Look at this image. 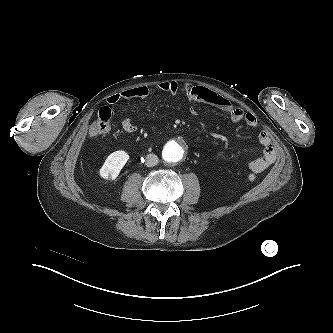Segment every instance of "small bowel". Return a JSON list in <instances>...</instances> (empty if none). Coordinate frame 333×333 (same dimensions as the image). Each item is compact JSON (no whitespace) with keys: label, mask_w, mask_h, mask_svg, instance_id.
<instances>
[{"label":"small bowel","mask_w":333,"mask_h":333,"mask_svg":"<svg viewBox=\"0 0 333 333\" xmlns=\"http://www.w3.org/2000/svg\"><path fill=\"white\" fill-rule=\"evenodd\" d=\"M179 92H182L192 105L205 103L227 113L229 121L232 123H239L243 121L249 127H256L258 125V119L253 113L245 112L241 108L235 107L230 101L221 95L203 87L179 84L174 81L161 82L153 87L140 86L130 88L120 93L111 95L107 99V102L109 104H115L121 100L145 99L159 94H169L173 96ZM190 112L192 114H196V109L191 107ZM121 125L127 133H134L137 131V126L128 118H124ZM258 140L263 148V154L261 157L248 164L249 169L253 173H260L266 170L276 158L274 146L269 134L266 131H261L259 133Z\"/></svg>","instance_id":"c3829d8e"}]
</instances>
